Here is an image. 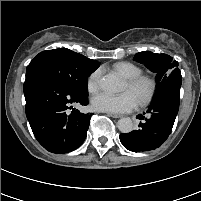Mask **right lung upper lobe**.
<instances>
[{"label": "right lung upper lobe", "mask_w": 201, "mask_h": 201, "mask_svg": "<svg viewBox=\"0 0 201 201\" xmlns=\"http://www.w3.org/2000/svg\"><path fill=\"white\" fill-rule=\"evenodd\" d=\"M72 54L76 59H78L81 62H84V63L89 64V65H97V66H99V63L97 61H94L92 59L86 58L85 56H83L81 54H78V53H75L73 51H72Z\"/></svg>", "instance_id": "1"}]
</instances>
